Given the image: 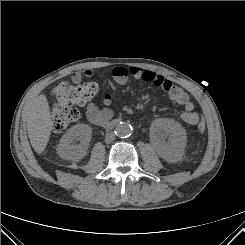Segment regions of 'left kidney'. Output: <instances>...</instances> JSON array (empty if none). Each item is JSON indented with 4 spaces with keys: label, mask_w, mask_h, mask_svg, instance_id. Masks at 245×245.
<instances>
[{
    "label": "left kidney",
    "mask_w": 245,
    "mask_h": 245,
    "mask_svg": "<svg viewBox=\"0 0 245 245\" xmlns=\"http://www.w3.org/2000/svg\"><path fill=\"white\" fill-rule=\"evenodd\" d=\"M151 133L156 138L161 157L168 161H176L182 156L187 137L185 129L178 122L169 119L155 120L151 125Z\"/></svg>",
    "instance_id": "5707ae66"
}]
</instances>
